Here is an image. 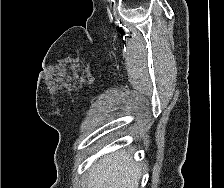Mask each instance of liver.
Wrapping results in <instances>:
<instances>
[{"instance_id": "6515ba94", "label": "liver", "mask_w": 224, "mask_h": 188, "mask_svg": "<svg viewBox=\"0 0 224 188\" xmlns=\"http://www.w3.org/2000/svg\"><path fill=\"white\" fill-rule=\"evenodd\" d=\"M141 177L140 167L126 151L109 154L90 171L87 188H138Z\"/></svg>"}]
</instances>
